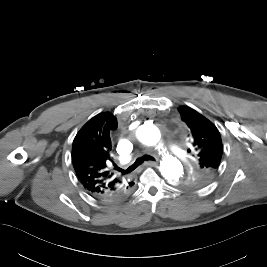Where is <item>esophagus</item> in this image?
I'll return each instance as SVG.
<instances>
[{"label": "esophagus", "mask_w": 267, "mask_h": 267, "mask_svg": "<svg viewBox=\"0 0 267 267\" xmlns=\"http://www.w3.org/2000/svg\"><path fill=\"white\" fill-rule=\"evenodd\" d=\"M158 164L157 161H146L144 163V165H148V166H156Z\"/></svg>", "instance_id": "esophagus-1"}]
</instances>
